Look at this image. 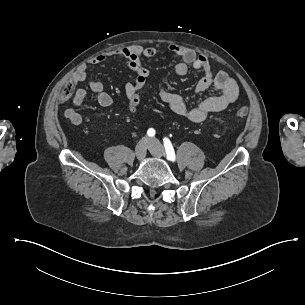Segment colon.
<instances>
[{"mask_svg":"<svg viewBox=\"0 0 305 305\" xmlns=\"http://www.w3.org/2000/svg\"><path fill=\"white\" fill-rule=\"evenodd\" d=\"M72 90L71 88L67 87L66 89H64V91L62 92V97L65 99H68L71 96ZM128 98L130 100L129 106L131 109L136 110L139 108L140 103L138 101L139 95L137 92L132 91L129 93ZM249 113L248 108L246 107H241L239 109L236 110L235 115L237 117H245L247 116Z\"/></svg>","mask_w":305,"mask_h":305,"instance_id":"obj_1","label":"colon"}]
</instances>
